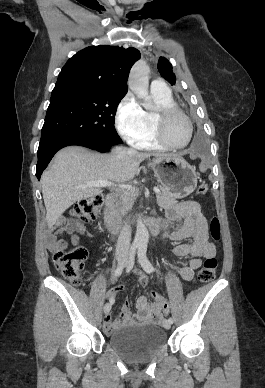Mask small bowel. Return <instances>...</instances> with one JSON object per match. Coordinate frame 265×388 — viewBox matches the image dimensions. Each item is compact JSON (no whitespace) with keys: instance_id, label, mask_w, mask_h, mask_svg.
Returning <instances> with one entry per match:
<instances>
[{"instance_id":"small-bowel-1","label":"small bowel","mask_w":265,"mask_h":388,"mask_svg":"<svg viewBox=\"0 0 265 388\" xmlns=\"http://www.w3.org/2000/svg\"><path fill=\"white\" fill-rule=\"evenodd\" d=\"M173 223L181 224L175 229H170L168 224ZM63 232L69 233L73 244L77 246H79V236H91L84 224L72 218L60 217L56 220L50 236L49 248L52 252L66 247V243L57 238V235ZM163 238L173 242H181L192 238L191 243H181L174 248V253L177 256L190 258L177 269L178 275L185 281L193 279L195 271L201 266L203 258L214 257L216 254V246L209 241L207 219L202 213L200 204L196 201H186L167 209L166 222H163ZM135 280L140 286H146L148 276L137 272L135 273ZM114 282L115 279L110 278L109 283L113 284ZM121 289L122 286L111 290L108 293L109 301L111 300L114 303L116 295ZM137 307L138 313L132 314L130 303L126 301L117 319L111 320L110 315L105 317L104 331L110 333L123 325L158 323L161 321L162 310L156 302L149 304L145 296H140L137 301Z\"/></svg>"}]
</instances>
